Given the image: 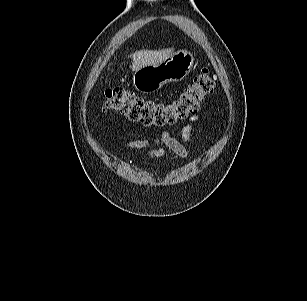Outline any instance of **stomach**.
<instances>
[{
  "label": "stomach",
  "instance_id": "0dacf381",
  "mask_svg": "<svg viewBox=\"0 0 307 301\" xmlns=\"http://www.w3.org/2000/svg\"><path fill=\"white\" fill-rule=\"evenodd\" d=\"M195 65L193 54L180 50L159 64L147 65L135 71L133 86L142 93H153L172 81L183 80Z\"/></svg>",
  "mask_w": 307,
  "mask_h": 301
}]
</instances>
